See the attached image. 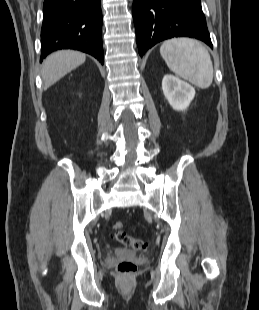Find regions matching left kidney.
I'll return each instance as SVG.
<instances>
[{"instance_id": "left-kidney-1", "label": "left kidney", "mask_w": 259, "mask_h": 310, "mask_svg": "<svg viewBox=\"0 0 259 310\" xmlns=\"http://www.w3.org/2000/svg\"><path fill=\"white\" fill-rule=\"evenodd\" d=\"M162 90L170 106L177 111L187 109L195 96L194 87L171 74L163 77Z\"/></svg>"}]
</instances>
